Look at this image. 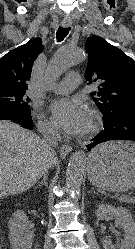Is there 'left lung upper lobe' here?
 I'll use <instances>...</instances> for the list:
<instances>
[{
  "label": "left lung upper lobe",
  "mask_w": 135,
  "mask_h": 249,
  "mask_svg": "<svg viewBox=\"0 0 135 249\" xmlns=\"http://www.w3.org/2000/svg\"><path fill=\"white\" fill-rule=\"evenodd\" d=\"M89 54L85 78L99 85L93 101L105 118L122 108L135 107V61L99 36L86 41Z\"/></svg>",
  "instance_id": "1"
}]
</instances>
